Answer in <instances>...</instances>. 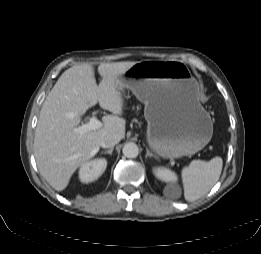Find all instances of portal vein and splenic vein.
<instances>
[{
    "label": "portal vein and splenic vein",
    "mask_w": 261,
    "mask_h": 254,
    "mask_svg": "<svg viewBox=\"0 0 261 254\" xmlns=\"http://www.w3.org/2000/svg\"><path fill=\"white\" fill-rule=\"evenodd\" d=\"M102 125V122L99 121L96 116H92L89 122L75 128L74 131L80 135H83L85 132L100 129Z\"/></svg>",
    "instance_id": "obj_1"
}]
</instances>
